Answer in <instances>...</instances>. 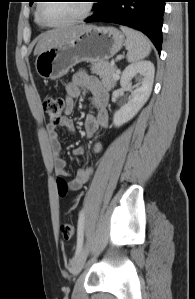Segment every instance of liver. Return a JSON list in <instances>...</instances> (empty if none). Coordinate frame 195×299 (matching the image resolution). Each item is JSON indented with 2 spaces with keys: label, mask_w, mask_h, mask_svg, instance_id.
Wrapping results in <instances>:
<instances>
[{
  "label": "liver",
  "mask_w": 195,
  "mask_h": 299,
  "mask_svg": "<svg viewBox=\"0 0 195 299\" xmlns=\"http://www.w3.org/2000/svg\"><path fill=\"white\" fill-rule=\"evenodd\" d=\"M86 26H73L68 28H60L48 31L42 34L37 42L34 50V55H39L41 52L55 47L64 41L75 37L80 30L84 29Z\"/></svg>",
  "instance_id": "obj_1"
}]
</instances>
